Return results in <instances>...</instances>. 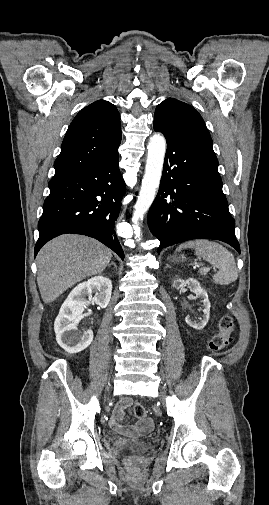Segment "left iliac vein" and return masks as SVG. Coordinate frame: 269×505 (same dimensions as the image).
<instances>
[{"instance_id": "4c4485c4", "label": "left iliac vein", "mask_w": 269, "mask_h": 505, "mask_svg": "<svg viewBox=\"0 0 269 505\" xmlns=\"http://www.w3.org/2000/svg\"><path fill=\"white\" fill-rule=\"evenodd\" d=\"M153 408H154V407H153ZM155 412H156V413H160V412H161V409H160V408H156V409H155Z\"/></svg>"}]
</instances>
